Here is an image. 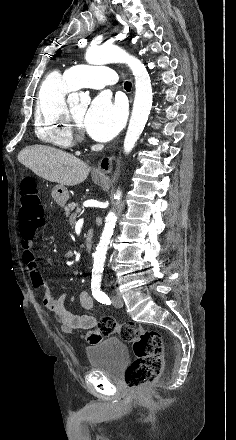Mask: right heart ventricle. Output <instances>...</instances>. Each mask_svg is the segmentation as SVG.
<instances>
[{"label": "right heart ventricle", "instance_id": "right-heart-ventricle-1", "mask_svg": "<svg viewBox=\"0 0 236 440\" xmlns=\"http://www.w3.org/2000/svg\"><path fill=\"white\" fill-rule=\"evenodd\" d=\"M74 90L65 75L51 73L42 82L35 104V133L43 142L68 149L73 144L66 114V95Z\"/></svg>", "mask_w": 236, "mask_h": 440}]
</instances>
